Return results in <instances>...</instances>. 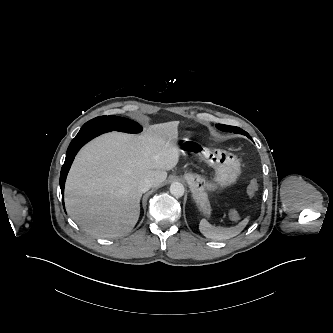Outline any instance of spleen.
Masks as SVG:
<instances>
[{"instance_id": "3e777b00", "label": "spleen", "mask_w": 333, "mask_h": 333, "mask_svg": "<svg viewBox=\"0 0 333 333\" xmlns=\"http://www.w3.org/2000/svg\"><path fill=\"white\" fill-rule=\"evenodd\" d=\"M248 222L249 218L247 217L234 227L223 228L214 227L210 225L207 220L203 219L200 221L199 230L207 238L213 240H225L238 235L246 227Z\"/></svg>"}]
</instances>
